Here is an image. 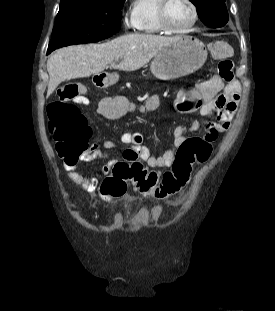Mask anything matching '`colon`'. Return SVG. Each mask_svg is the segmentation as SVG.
I'll return each mask as SVG.
<instances>
[{
	"label": "colon",
	"instance_id": "1",
	"mask_svg": "<svg viewBox=\"0 0 275 311\" xmlns=\"http://www.w3.org/2000/svg\"><path fill=\"white\" fill-rule=\"evenodd\" d=\"M229 48L225 42H215L211 47L212 56L219 59L218 73L230 82L233 80V62L226 58ZM84 90L78 84H68L58 93L59 100L52 102L47 109L49 128L56 142L57 155L62 159L75 160L87 149L90 129L85 116L73 104H89V97H80ZM157 94L142 102L141 97H107L100 106V113L106 117H136L141 112L146 115L143 107H156ZM141 104L142 107H138ZM220 134L204 137H192L184 141L176 153L172 168L161 176L149 170L138 161L120 162L113 167L111 175H105L100 183L97 197L103 202H112L127 192L131 184L138 192L148 194L155 199H165L179 193L189 182L194 165H203L212 155V143Z\"/></svg>",
	"mask_w": 275,
	"mask_h": 311
}]
</instances>
